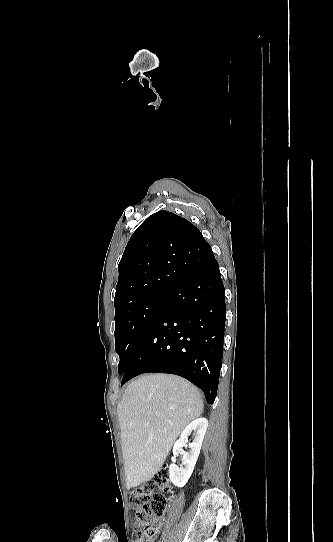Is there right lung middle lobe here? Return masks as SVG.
I'll use <instances>...</instances> for the list:
<instances>
[{
  "mask_svg": "<svg viewBox=\"0 0 333 542\" xmlns=\"http://www.w3.org/2000/svg\"><path fill=\"white\" fill-rule=\"evenodd\" d=\"M168 292L158 293L146 300L121 309L115 314V350L119 355V374H123L149 324L166 303Z\"/></svg>",
  "mask_w": 333,
  "mask_h": 542,
  "instance_id": "dd1d6c3e",
  "label": "right lung middle lobe"
}]
</instances>
